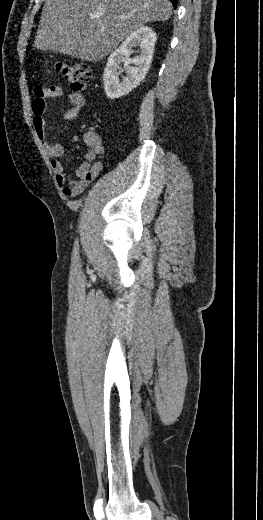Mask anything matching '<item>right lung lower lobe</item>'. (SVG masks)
Instances as JSON below:
<instances>
[{
    "label": "right lung lower lobe",
    "instance_id": "obj_1",
    "mask_svg": "<svg viewBox=\"0 0 263 520\" xmlns=\"http://www.w3.org/2000/svg\"><path fill=\"white\" fill-rule=\"evenodd\" d=\"M170 1L172 2L174 8H176V6H177V0H170Z\"/></svg>",
    "mask_w": 263,
    "mask_h": 520
}]
</instances>
